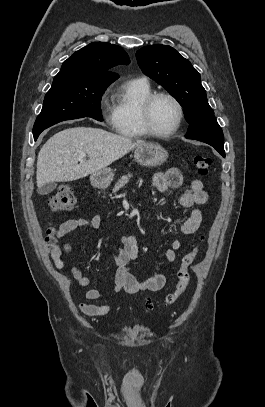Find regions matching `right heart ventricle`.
Wrapping results in <instances>:
<instances>
[{"label": "right heart ventricle", "instance_id": "1", "mask_svg": "<svg viewBox=\"0 0 265 407\" xmlns=\"http://www.w3.org/2000/svg\"><path fill=\"white\" fill-rule=\"evenodd\" d=\"M147 79L137 78L127 81L121 88L113 108L114 130L126 138H144L149 134L142 126L140 108L152 93Z\"/></svg>", "mask_w": 265, "mask_h": 407}]
</instances>
